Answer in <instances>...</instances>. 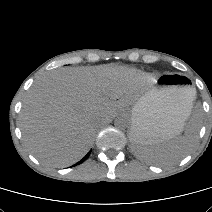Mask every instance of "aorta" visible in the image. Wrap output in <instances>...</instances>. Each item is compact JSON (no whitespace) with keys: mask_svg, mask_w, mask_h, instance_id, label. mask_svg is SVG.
<instances>
[{"mask_svg":"<svg viewBox=\"0 0 212 212\" xmlns=\"http://www.w3.org/2000/svg\"><path fill=\"white\" fill-rule=\"evenodd\" d=\"M127 124H128L127 119L125 117H122V116L117 117L114 121V125L117 128H120V129L125 128L127 126Z\"/></svg>","mask_w":212,"mask_h":212,"instance_id":"1","label":"aorta"}]
</instances>
